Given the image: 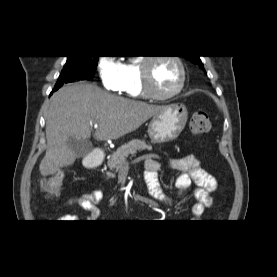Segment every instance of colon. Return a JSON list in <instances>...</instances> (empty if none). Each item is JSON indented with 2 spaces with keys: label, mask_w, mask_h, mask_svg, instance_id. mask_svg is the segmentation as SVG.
<instances>
[{
  "label": "colon",
  "mask_w": 277,
  "mask_h": 277,
  "mask_svg": "<svg viewBox=\"0 0 277 277\" xmlns=\"http://www.w3.org/2000/svg\"><path fill=\"white\" fill-rule=\"evenodd\" d=\"M211 128L212 124L210 118L205 111H197L193 113L189 122V129L194 136L206 135L211 131ZM63 181V172L57 171L53 175L43 178L40 187L46 195H54L61 190Z\"/></svg>",
  "instance_id": "colon-1"
}]
</instances>
